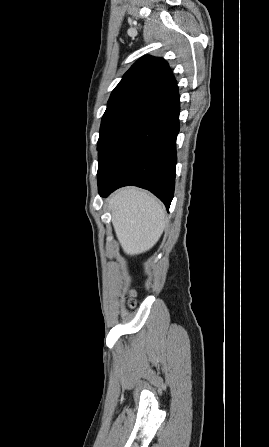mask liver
Returning a JSON list of instances; mask_svg holds the SVG:
<instances>
[{"label":"liver","instance_id":"obj_1","mask_svg":"<svg viewBox=\"0 0 269 447\" xmlns=\"http://www.w3.org/2000/svg\"><path fill=\"white\" fill-rule=\"evenodd\" d=\"M116 235L126 253L135 255L150 249L165 227V210L144 190L122 188L108 206Z\"/></svg>","mask_w":269,"mask_h":447}]
</instances>
